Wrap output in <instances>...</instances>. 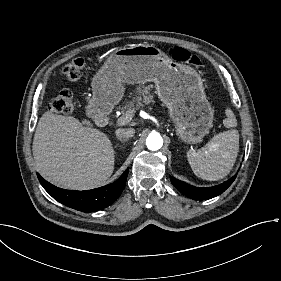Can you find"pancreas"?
Wrapping results in <instances>:
<instances>
[{"instance_id":"obj_1","label":"pancreas","mask_w":281,"mask_h":281,"mask_svg":"<svg viewBox=\"0 0 281 281\" xmlns=\"http://www.w3.org/2000/svg\"><path fill=\"white\" fill-rule=\"evenodd\" d=\"M153 88L154 86L152 84L148 86H137L134 92L130 95L132 96V99L129 100L125 106L119 108L122 114L128 113V111L132 108L138 109L142 107L143 104H149L154 98V91H152Z\"/></svg>"}]
</instances>
